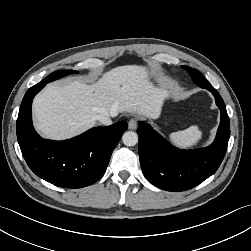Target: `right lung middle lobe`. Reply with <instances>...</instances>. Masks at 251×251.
Masks as SVG:
<instances>
[{
  "mask_svg": "<svg viewBox=\"0 0 251 251\" xmlns=\"http://www.w3.org/2000/svg\"><path fill=\"white\" fill-rule=\"evenodd\" d=\"M74 73H76V71H74V70L56 71V72L51 73L49 76H47L41 82L49 83V82H52V81H54L56 79H59V78H61L63 76H66V75H69V74H74Z\"/></svg>",
  "mask_w": 251,
  "mask_h": 251,
  "instance_id": "right-lung-middle-lobe-1",
  "label": "right lung middle lobe"
}]
</instances>
